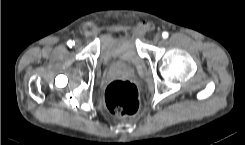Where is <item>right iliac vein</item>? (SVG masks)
Here are the masks:
<instances>
[{"label":"right iliac vein","mask_w":245,"mask_h":145,"mask_svg":"<svg viewBox=\"0 0 245 145\" xmlns=\"http://www.w3.org/2000/svg\"><path fill=\"white\" fill-rule=\"evenodd\" d=\"M80 45H81V41L79 39H76L75 40V48L80 47Z\"/></svg>","instance_id":"63e3f726"}]
</instances>
